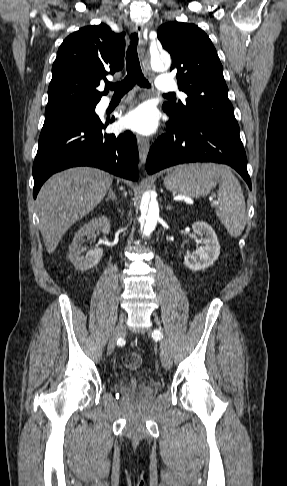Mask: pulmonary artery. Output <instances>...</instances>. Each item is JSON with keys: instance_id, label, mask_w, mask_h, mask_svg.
Listing matches in <instances>:
<instances>
[{"instance_id": "obj_1", "label": "pulmonary artery", "mask_w": 287, "mask_h": 486, "mask_svg": "<svg viewBox=\"0 0 287 486\" xmlns=\"http://www.w3.org/2000/svg\"><path fill=\"white\" fill-rule=\"evenodd\" d=\"M157 89L160 92H173L176 91L178 87L176 81L171 76L161 75L157 79ZM106 102H109V100L107 99Z\"/></svg>"}]
</instances>
